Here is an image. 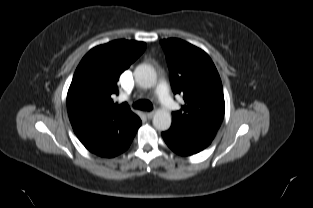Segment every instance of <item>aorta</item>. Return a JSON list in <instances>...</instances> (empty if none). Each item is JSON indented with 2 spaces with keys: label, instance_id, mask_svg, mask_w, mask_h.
Here are the masks:
<instances>
[{
  "label": "aorta",
  "instance_id": "762f6f07",
  "mask_svg": "<svg viewBox=\"0 0 313 208\" xmlns=\"http://www.w3.org/2000/svg\"><path fill=\"white\" fill-rule=\"evenodd\" d=\"M134 77L137 84L143 88H151L156 83L155 70L146 64L137 66L134 70ZM172 122L171 114L165 109H159L153 117V126L159 131H166L170 128Z\"/></svg>",
  "mask_w": 313,
  "mask_h": 208
}]
</instances>
